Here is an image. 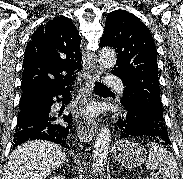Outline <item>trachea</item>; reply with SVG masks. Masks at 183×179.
<instances>
[{"label": "trachea", "mask_w": 183, "mask_h": 179, "mask_svg": "<svg viewBox=\"0 0 183 179\" xmlns=\"http://www.w3.org/2000/svg\"><path fill=\"white\" fill-rule=\"evenodd\" d=\"M95 91H110V89L99 82H95Z\"/></svg>", "instance_id": "3493384b"}]
</instances>
